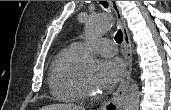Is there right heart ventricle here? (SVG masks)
I'll use <instances>...</instances> for the list:
<instances>
[{"label":"right heart ventricle","mask_w":171,"mask_h":110,"mask_svg":"<svg viewBox=\"0 0 171 110\" xmlns=\"http://www.w3.org/2000/svg\"><path fill=\"white\" fill-rule=\"evenodd\" d=\"M81 51L71 45L62 49L54 58L48 78L52 95L59 101L77 103L83 100L76 87V66Z\"/></svg>","instance_id":"1"}]
</instances>
